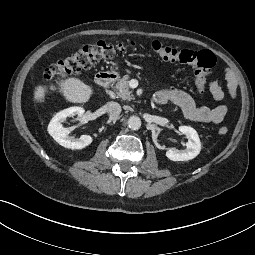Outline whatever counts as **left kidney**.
Here are the masks:
<instances>
[{"label": "left kidney", "instance_id": "left-kidney-1", "mask_svg": "<svg viewBox=\"0 0 255 255\" xmlns=\"http://www.w3.org/2000/svg\"><path fill=\"white\" fill-rule=\"evenodd\" d=\"M179 131L186 136V149H169L166 156L172 161H188L195 158L201 151V142L197 131L190 126H180Z\"/></svg>", "mask_w": 255, "mask_h": 255}]
</instances>
